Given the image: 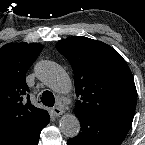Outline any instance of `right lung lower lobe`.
I'll return each mask as SVG.
<instances>
[{"instance_id": "98d812e1", "label": "right lung lower lobe", "mask_w": 145, "mask_h": 145, "mask_svg": "<svg viewBox=\"0 0 145 145\" xmlns=\"http://www.w3.org/2000/svg\"><path fill=\"white\" fill-rule=\"evenodd\" d=\"M49 121L50 116L47 114L40 121L22 128L0 145H38L40 132Z\"/></svg>"}]
</instances>
